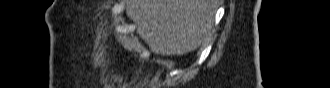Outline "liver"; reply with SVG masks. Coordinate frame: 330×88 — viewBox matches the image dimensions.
Returning <instances> with one entry per match:
<instances>
[{
  "instance_id": "1",
  "label": "liver",
  "mask_w": 330,
  "mask_h": 88,
  "mask_svg": "<svg viewBox=\"0 0 330 88\" xmlns=\"http://www.w3.org/2000/svg\"><path fill=\"white\" fill-rule=\"evenodd\" d=\"M217 0H127L126 14L151 51L183 55L210 40Z\"/></svg>"
}]
</instances>
